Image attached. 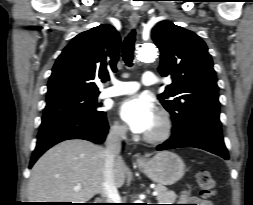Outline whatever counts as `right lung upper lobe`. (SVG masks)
I'll use <instances>...</instances> for the list:
<instances>
[{
  "instance_id": "right-lung-upper-lobe-1",
  "label": "right lung upper lobe",
  "mask_w": 253,
  "mask_h": 205,
  "mask_svg": "<svg viewBox=\"0 0 253 205\" xmlns=\"http://www.w3.org/2000/svg\"><path fill=\"white\" fill-rule=\"evenodd\" d=\"M120 36L102 24L74 37L57 58L48 82L47 101L70 96L98 95L94 80L116 72Z\"/></svg>"
}]
</instances>
